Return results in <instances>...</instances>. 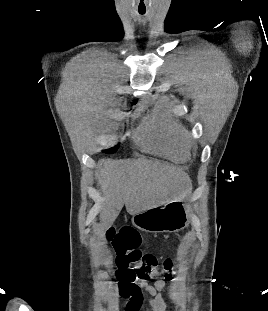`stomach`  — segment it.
<instances>
[{
  "mask_svg": "<svg viewBox=\"0 0 268 311\" xmlns=\"http://www.w3.org/2000/svg\"><path fill=\"white\" fill-rule=\"evenodd\" d=\"M190 206L183 197L165 204L133 214L132 224L138 229L150 232H178L188 226Z\"/></svg>",
  "mask_w": 268,
  "mask_h": 311,
  "instance_id": "1",
  "label": "stomach"
}]
</instances>
